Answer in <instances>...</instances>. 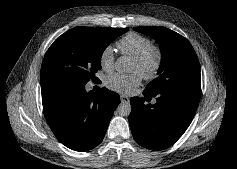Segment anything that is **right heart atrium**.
Wrapping results in <instances>:
<instances>
[{"label":"right heart atrium","instance_id":"d8ad5b80","mask_svg":"<svg viewBox=\"0 0 237 169\" xmlns=\"http://www.w3.org/2000/svg\"><path fill=\"white\" fill-rule=\"evenodd\" d=\"M100 65L103 70L105 71H111L113 69L114 65V50L113 47L110 45H107L103 48L100 54Z\"/></svg>","mask_w":237,"mask_h":169}]
</instances>
